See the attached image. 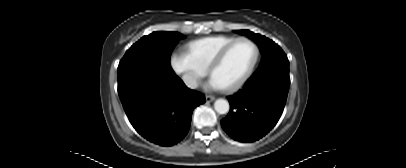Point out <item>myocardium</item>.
I'll return each mask as SVG.
<instances>
[{"label":"myocardium","mask_w":406,"mask_h":168,"mask_svg":"<svg viewBox=\"0 0 406 168\" xmlns=\"http://www.w3.org/2000/svg\"><path fill=\"white\" fill-rule=\"evenodd\" d=\"M240 42H248L249 44H251L254 49V56H253L251 63L249 64V66L247 67L245 72L241 75V77L238 80H236L234 83H232L228 86L222 87V90L225 92L236 91L248 80V78L252 74V72L257 64L258 58H259V48H258L257 44L253 40H251L250 38H247V37L235 38L232 42H230L229 44L224 46L215 55V57L213 58V60L211 61L210 65L207 68L208 75L210 77H212L214 71L222 64V62L224 61V59L227 56V54L229 53V51L233 48V46H235L236 44H238Z\"/></svg>","instance_id":"obj_1"}]
</instances>
